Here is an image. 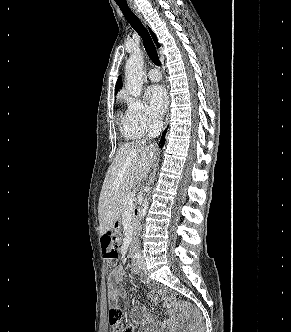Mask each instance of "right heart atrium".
I'll use <instances>...</instances> for the list:
<instances>
[{
    "label": "right heart atrium",
    "instance_id": "1",
    "mask_svg": "<svg viewBox=\"0 0 291 332\" xmlns=\"http://www.w3.org/2000/svg\"><path fill=\"white\" fill-rule=\"evenodd\" d=\"M127 119L132 127L140 133H148L159 126L151 115L149 107L140 99L127 97Z\"/></svg>",
    "mask_w": 291,
    "mask_h": 332
}]
</instances>
